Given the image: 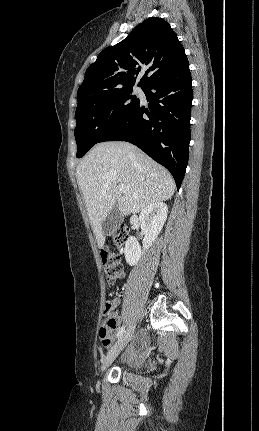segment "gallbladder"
<instances>
[{"mask_svg": "<svg viewBox=\"0 0 259 431\" xmlns=\"http://www.w3.org/2000/svg\"><path fill=\"white\" fill-rule=\"evenodd\" d=\"M122 221L123 214L117 206H114L102 223V230L105 235H111L118 228Z\"/></svg>", "mask_w": 259, "mask_h": 431, "instance_id": "gallbladder-1", "label": "gallbladder"}]
</instances>
